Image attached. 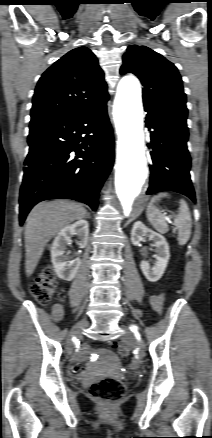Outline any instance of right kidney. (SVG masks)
Here are the masks:
<instances>
[{
    "label": "right kidney",
    "mask_w": 212,
    "mask_h": 438,
    "mask_svg": "<svg viewBox=\"0 0 212 438\" xmlns=\"http://www.w3.org/2000/svg\"><path fill=\"white\" fill-rule=\"evenodd\" d=\"M89 224L85 220H79L74 224L64 227L55 237L51 245V260L57 276L63 280L71 281L75 278L80 267L79 258L68 261L65 255L66 245L71 242V236H78V245L84 248L88 242Z\"/></svg>",
    "instance_id": "1"
}]
</instances>
